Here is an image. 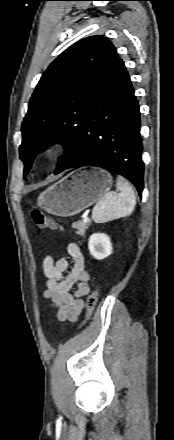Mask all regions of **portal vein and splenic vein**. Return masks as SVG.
I'll use <instances>...</instances> for the list:
<instances>
[{
    "instance_id": "obj_1",
    "label": "portal vein and splenic vein",
    "mask_w": 174,
    "mask_h": 440,
    "mask_svg": "<svg viewBox=\"0 0 174 440\" xmlns=\"http://www.w3.org/2000/svg\"><path fill=\"white\" fill-rule=\"evenodd\" d=\"M83 221H84V222H87V221H89V218H88L87 216H85V217L83 218Z\"/></svg>"
}]
</instances>
